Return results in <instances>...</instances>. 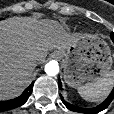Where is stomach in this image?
<instances>
[{"instance_id":"obj_1","label":"stomach","mask_w":114,"mask_h":114,"mask_svg":"<svg viewBox=\"0 0 114 114\" xmlns=\"http://www.w3.org/2000/svg\"><path fill=\"white\" fill-rule=\"evenodd\" d=\"M53 56L62 60L64 79L73 88L95 83L107 76L112 69L111 50L97 36H80L67 48L54 51Z\"/></svg>"}]
</instances>
